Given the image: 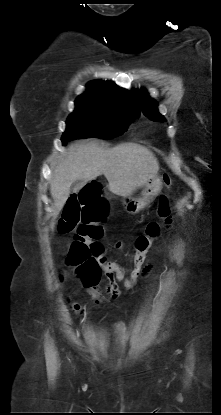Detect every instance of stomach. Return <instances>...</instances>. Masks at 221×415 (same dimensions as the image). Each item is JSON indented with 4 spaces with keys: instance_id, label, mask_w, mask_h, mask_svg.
<instances>
[{
    "instance_id": "stomach-1",
    "label": "stomach",
    "mask_w": 221,
    "mask_h": 415,
    "mask_svg": "<svg viewBox=\"0 0 221 415\" xmlns=\"http://www.w3.org/2000/svg\"><path fill=\"white\" fill-rule=\"evenodd\" d=\"M162 184L161 177L156 175L147 182L141 193V197H124L122 202L125 211L130 214H137L142 211L160 193Z\"/></svg>"
}]
</instances>
